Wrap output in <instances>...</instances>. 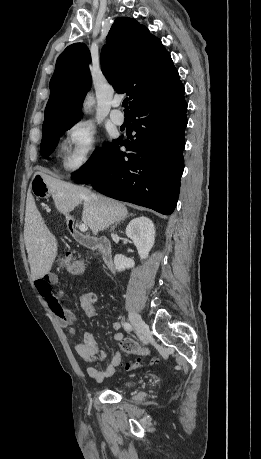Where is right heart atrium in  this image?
Returning <instances> with one entry per match:
<instances>
[{"label":"right heart atrium","mask_w":261,"mask_h":459,"mask_svg":"<svg viewBox=\"0 0 261 459\" xmlns=\"http://www.w3.org/2000/svg\"><path fill=\"white\" fill-rule=\"evenodd\" d=\"M68 149L63 160L64 168L76 172L86 167L97 152L98 137L94 126L77 121L67 130Z\"/></svg>","instance_id":"d8ad5b80"}]
</instances>
